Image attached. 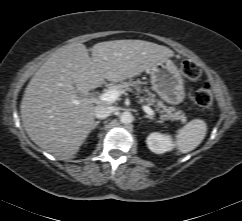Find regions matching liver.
Returning <instances> with one entry per match:
<instances>
[{"mask_svg":"<svg viewBox=\"0 0 242 221\" xmlns=\"http://www.w3.org/2000/svg\"><path fill=\"white\" fill-rule=\"evenodd\" d=\"M92 57L82 43L57 50L34 74L21 102L30 139L55 157L71 159L95 123L93 102L82 98L104 80L121 82L174 56L162 45L143 40L95 44Z\"/></svg>","mask_w":242,"mask_h":221,"instance_id":"liver-1","label":"liver"}]
</instances>
